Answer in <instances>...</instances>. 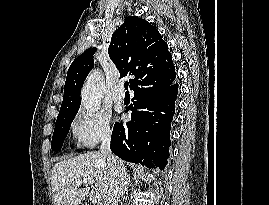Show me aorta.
<instances>
[{
  "mask_svg": "<svg viewBox=\"0 0 269 205\" xmlns=\"http://www.w3.org/2000/svg\"><path fill=\"white\" fill-rule=\"evenodd\" d=\"M103 91L104 80L102 75L97 71L92 72L88 76L81 92L82 106L90 116L100 109Z\"/></svg>",
  "mask_w": 269,
  "mask_h": 205,
  "instance_id": "1",
  "label": "aorta"
}]
</instances>
